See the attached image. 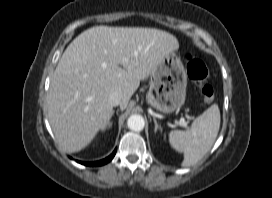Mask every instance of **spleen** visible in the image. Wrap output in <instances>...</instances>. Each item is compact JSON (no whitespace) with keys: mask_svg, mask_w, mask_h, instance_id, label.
Listing matches in <instances>:
<instances>
[{"mask_svg":"<svg viewBox=\"0 0 272 198\" xmlns=\"http://www.w3.org/2000/svg\"><path fill=\"white\" fill-rule=\"evenodd\" d=\"M219 128L220 110L217 104H213L193 121L189 130L169 133L170 145L184 154L183 167L196 164L206 155L216 140Z\"/></svg>","mask_w":272,"mask_h":198,"instance_id":"3e777b00","label":"spleen"}]
</instances>
